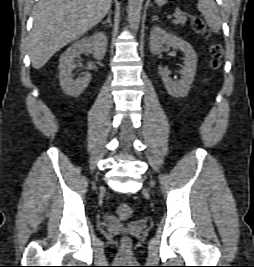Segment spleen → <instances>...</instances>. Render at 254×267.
Segmentation results:
<instances>
[{"label": "spleen", "instance_id": "obj_1", "mask_svg": "<svg viewBox=\"0 0 254 267\" xmlns=\"http://www.w3.org/2000/svg\"><path fill=\"white\" fill-rule=\"evenodd\" d=\"M197 8L203 15L208 26L214 32H218L220 30L222 21L214 0H198Z\"/></svg>", "mask_w": 254, "mask_h": 267}]
</instances>
